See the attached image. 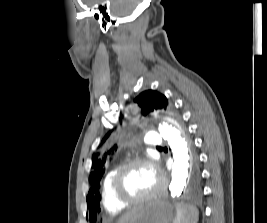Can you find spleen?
<instances>
[{
  "mask_svg": "<svg viewBox=\"0 0 267 223\" xmlns=\"http://www.w3.org/2000/svg\"><path fill=\"white\" fill-rule=\"evenodd\" d=\"M198 219L199 211L194 205L183 202L176 205V218L174 223H197Z\"/></svg>",
  "mask_w": 267,
  "mask_h": 223,
  "instance_id": "obj_1",
  "label": "spleen"
}]
</instances>
